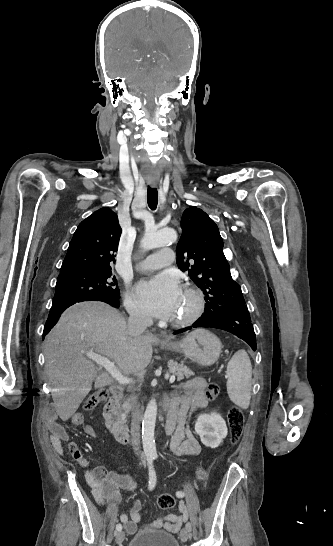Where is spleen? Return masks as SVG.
I'll return each instance as SVG.
<instances>
[{"label":"spleen","instance_id":"1","mask_svg":"<svg viewBox=\"0 0 333 546\" xmlns=\"http://www.w3.org/2000/svg\"><path fill=\"white\" fill-rule=\"evenodd\" d=\"M226 373L230 399L242 409H247L251 399L252 366L245 350L234 354L227 365Z\"/></svg>","mask_w":333,"mask_h":546}]
</instances>
